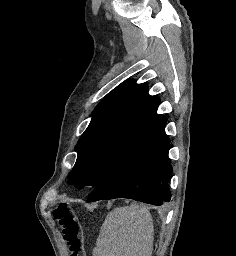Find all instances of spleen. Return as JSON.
<instances>
[{"label": "spleen", "instance_id": "spleen-1", "mask_svg": "<svg viewBox=\"0 0 236 256\" xmlns=\"http://www.w3.org/2000/svg\"><path fill=\"white\" fill-rule=\"evenodd\" d=\"M154 228L146 206L131 204L107 214L92 256H152Z\"/></svg>", "mask_w": 236, "mask_h": 256}]
</instances>
